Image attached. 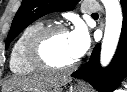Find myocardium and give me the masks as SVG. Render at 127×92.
<instances>
[{
  "instance_id": "1",
  "label": "myocardium",
  "mask_w": 127,
  "mask_h": 92,
  "mask_svg": "<svg viewBox=\"0 0 127 92\" xmlns=\"http://www.w3.org/2000/svg\"><path fill=\"white\" fill-rule=\"evenodd\" d=\"M67 27L62 24L46 25L38 30L30 39L27 46V59L29 63L39 71L47 73H67L73 70L79 60L65 66H56L50 63L45 56V48L48 41L57 33H68Z\"/></svg>"
}]
</instances>
